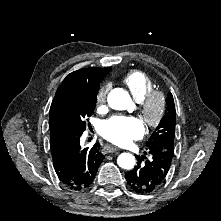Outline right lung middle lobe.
Here are the masks:
<instances>
[{
  "label": "right lung middle lobe",
  "instance_id": "right-lung-middle-lobe-1",
  "mask_svg": "<svg viewBox=\"0 0 221 221\" xmlns=\"http://www.w3.org/2000/svg\"><path fill=\"white\" fill-rule=\"evenodd\" d=\"M96 94L84 89H71L60 96L64 125L51 132L50 143L68 134H81L86 128L85 120L94 112ZM54 138V140H53Z\"/></svg>",
  "mask_w": 221,
  "mask_h": 221
}]
</instances>
